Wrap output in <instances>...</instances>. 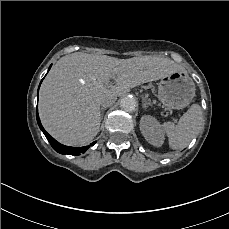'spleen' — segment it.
Listing matches in <instances>:
<instances>
[{
	"mask_svg": "<svg viewBox=\"0 0 229 229\" xmlns=\"http://www.w3.org/2000/svg\"><path fill=\"white\" fill-rule=\"evenodd\" d=\"M202 124L201 107L194 104L181 116L178 124L166 121L161 129L166 134L171 149H182L190 144Z\"/></svg>",
	"mask_w": 229,
	"mask_h": 229,
	"instance_id": "spleen-1",
	"label": "spleen"
}]
</instances>
